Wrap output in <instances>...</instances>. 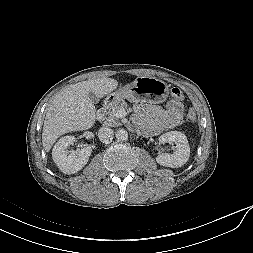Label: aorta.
<instances>
[{"label": "aorta", "mask_w": 253, "mask_h": 253, "mask_svg": "<svg viewBox=\"0 0 253 253\" xmlns=\"http://www.w3.org/2000/svg\"><path fill=\"white\" fill-rule=\"evenodd\" d=\"M115 137L118 141H126L128 139V132L125 129H118Z\"/></svg>", "instance_id": "obj_1"}]
</instances>
